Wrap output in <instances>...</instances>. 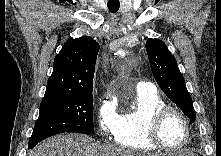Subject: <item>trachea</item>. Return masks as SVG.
<instances>
[{"instance_id": "obj_1", "label": "trachea", "mask_w": 221, "mask_h": 156, "mask_svg": "<svg viewBox=\"0 0 221 156\" xmlns=\"http://www.w3.org/2000/svg\"><path fill=\"white\" fill-rule=\"evenodd\" d=\"M107 7L110 10V12L115 13L119 10L120 3L118 0H109L107 3Z\"/></svg>"}]
</instances>
